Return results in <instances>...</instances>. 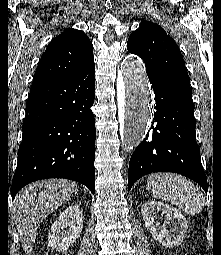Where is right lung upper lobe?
Masks as SVG:
<instances>
[{
	"label": "right lung upper lobe",
	"instance_id": "right-lung-upper-lobe-1",
	"mask_svg": "<svg viewBox=\"0 0 221 255\" xmlns=\"http://www.w3.org/2000/svg\"><path fill=\"white\" fill-rule=\"evenodd\" d=\"M94 61L93 45L82 31L68 28L52 39L38 64L32 86L69 76Z\"/></svg>",
	"mask_w": 221,
	"mask_h": 255
}]
</instances>
